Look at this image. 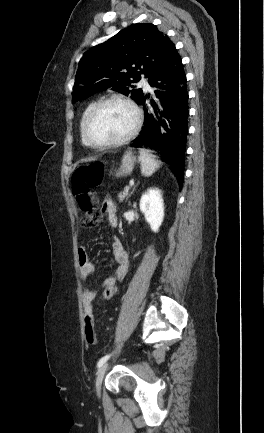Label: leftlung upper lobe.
Masks as SVG:
<instances>
[{
	"mask_svg": "<svg viewBox=\"0 0 264 433\" xmlns=\"http://www.w3.org/2000/svg\"><path fill=\"white\" fill-rule=\"evenodd\" d=\"M175 45L151 23L133 24L106 42L87 51L79 62L73 100L111 88L138 103L142 89H136L140 74L151 76L164 64Z\"/></svg>",
	"mask_w": 264,
	"mask_h": 433,
	"instance_id": "obj_1",
	"label": "left lung upper lobe"
}]
</instances>
